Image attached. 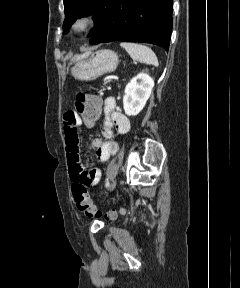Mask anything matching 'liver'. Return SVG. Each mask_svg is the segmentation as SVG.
<instances>
[{
  "label": "liver",
  "mask_w": 240,
  "mask_h": 288,
  "mask_svg": "<svg viewBox=\"0 0 240 288\" xmlns=\"http://www.w3.org/2000/svg\"><path fill=\"white\" fill-rule=\"evenodd\" d=\"M78 56H80V55H77V56H75L74 58H76V57H78Z\"/></svg>",
  "instance_id": "6515ba94"
}]
</instances>
